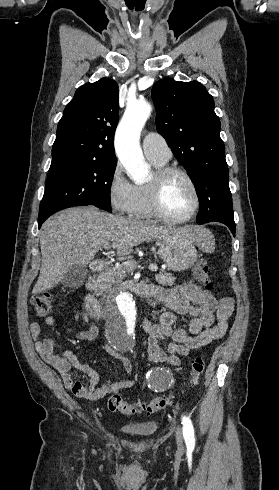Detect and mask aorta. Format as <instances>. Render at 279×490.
<instances>
[{"instance_id": "obj_1", "label": "aorta", "mask_w": 279, "mask_h": 490, "mask_svg": "<svg viewBox=\"0 0 279 490\" xmlns=\"http://www.w3.org/2000/svg\"><path fill=\"white\" fill-rule=\"evenodd\" d=\"M152 107L146 101L128 104L115 133L116 154L135 181H143L148 176V164L140 148V134L151 114ZM137 308L133 295L123 291L109 301L106 333L117 347L128 348L136 334Z\"/></svg>"}]
</instances>
